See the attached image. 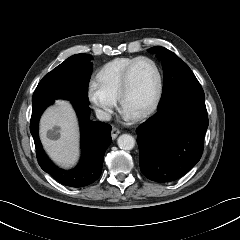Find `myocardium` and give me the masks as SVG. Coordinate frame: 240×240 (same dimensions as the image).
Returning <instances> with one entry per match:
<instances>
[{
	"instance_id": "f54148a6",
	"label": "myocardium",
	"mask_w": 240,
	"mask_h": 240,
	"mask_svg": "<svg viewBox=\"0 0 240 240\" xmlns=\"http://www.w3.org/2000/svg\"><path fill=\"white\" fill-rule=\"evenodd\" d=\"M143 60L149 61L150 63L153 64L156 74H157V87H156L155 94H154L150 104L145 109H143L142 111L137 113L136 115L130 116L131 118H133L135 120L144 119L147 116H149L158 106L160 99L162 97V93H163V75H162V71H161L159 64L153 58H151L149 56H139L133 62H131L129 64V66L126 68V70L123 74L121 89H120V93L118 96V103H119L120 109L123 111L125 100L130 91V77H131L133 68L135 67V65L138 62L143 61Z\"/></svg>"
}]
</instances>
